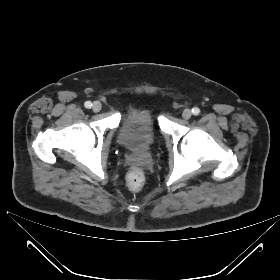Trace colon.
<instances>
[{
  "mask_svg": "<svg viewBox=\"0 0 280 280\" xmlns=\"http://www.w3.org/2000/svg\"><path fill=\"white\" fill-rule=\"evenodd\" d=\"M144 184V176L141 170L133 168L127 178V186L131 191H139Z\"/></svg>",
  "mask_w": 280,
  "mask_h": 280,
  "instance_id": "obj_1",
  "label": "colon"
}]
</instances>
